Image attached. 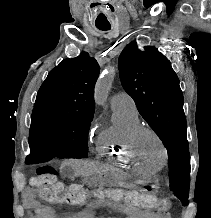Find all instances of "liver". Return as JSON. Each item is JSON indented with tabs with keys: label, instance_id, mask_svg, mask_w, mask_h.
I'll list each match as a JSON object with an SVG mask.
<instances>
[{
	"label": "liver",
	"instance_id": "6515ba94",
	"mask_svg": "<svg viewBox=\"0 0 211 218\" xmlns=\"http://www.w3.org/2000/svg\"><path fill=\"white\" fill-rule=\"evenodd\" d=\"M68 164L71 166L75 176H88V174L93 172L92 166L88 162H83V160H70Z\"/></svg>",
	"mask_w": 211,
	"mask_h": 218
}]
</instances>
